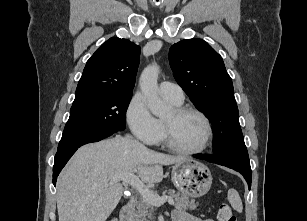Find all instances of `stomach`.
Here are the masks:
<instances>
[{
    "label": "stomach",
    "instance_id": "0dacf381",
    "mask_svg": "<svg viewBox=\"0 0 307 221\" xmlns=\"http://www.w3.org/2000/svg\"><path fill=\"white\" fill-rule=\"evenodd\" d=\"M171 176L179 191L194 198L205 195L213 180L209 168L205 164L192 159L176 163L172 168Z\"/></svg>",
    "mask_w": 307,
    "mask_h": 221
}]
</instances>
